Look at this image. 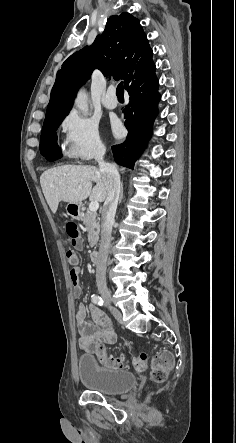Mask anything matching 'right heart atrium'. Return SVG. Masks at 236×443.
<instances>
[{"label": "right heart atrium", "instance_id": "1", "mask_svg": "<svg viewBox=\"0 0 236 443\" xmlns=\"http://www.w3.org/2000/svg\"><path fill=\"white\" fill-rule=\"evenodd\" d=\"M64 153L72 160L89 161L104 151L98 124L92 118L73 109L62 121Z\"/></svg>", "mask_w": 236, "mask_h": 443}]
</instances>
